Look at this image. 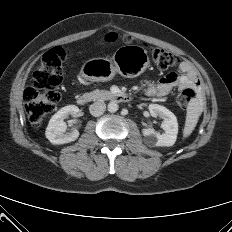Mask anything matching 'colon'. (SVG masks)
Segmentation results:
<instances>
[{"instance_id": "1", "label": "colon", "mask_w": 232, "mask_h": 232, "mask_svg": "<svg viewBox=\"0 0 232 232\" xmlns=\"http://www.w3.org/2000/svg\"><path fill=\"white\" fill-rule=\"evenodd\" d=\"M116 34L108 36L109 41H115ZM124 43L132 42V37H122ZM149 52L155 65L160 69H167L178 63V57L171 51L160 47H150ZM67 58V51L63 47H54L43 57L40 65L33 73L30 85L24 92V106L33 126H38L54 109L59 99L58 89L63 79V64ZM194 97L190 88L183 89L177 96V104L186 108Z\"/></svg>"}]
</instances>
